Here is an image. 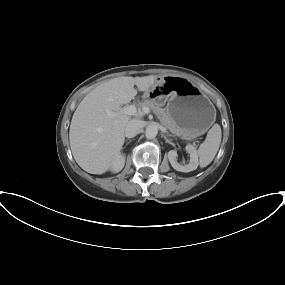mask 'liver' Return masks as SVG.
<instances>
[{
    "instance_id": "6515ba94",
    "label": "liver",
    "mask_w": 285,
    "mask_h": 285,
    "mask_svg": "<svg viewBox=\"0 0 285 285\" xmlns=\"http://www.w3.org/2000/svg\"><path fill=\"white\" fill-rule=\"evenodd\" d=\"M157 76H123L110 79L88 93L75 110L69 140L77 164L91 174L108 171L120 155L125 127L130 117L120 114L121 105L129 103L139 91H147ZM107 111L115 113L114 117Z\"/></svg>"
}]
</instances>
